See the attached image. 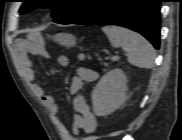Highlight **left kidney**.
Instances as JSON below:
<instances>
[{
  "label": "left kidney",
  "instance_id": "1",
  "mask_svg": "<svg viewBox=\"0 0 182 140\" xmlns=\"http://www.w3.org/2000/svg\"><path fill=\"white\" fill-rule=\"evenodd\" d=\"M127 79L121 69L107 72L92 92L93 112L105 116L116 111L127 99Z\"/></svg>",
  "mask_w": 182,
  "mask_h": 140
}]
</instances>
